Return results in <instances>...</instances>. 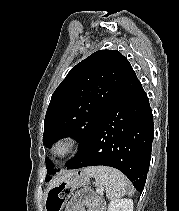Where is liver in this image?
Returning <instances> with one entry per match:
<instances>
[{
	"instance_id": "1",
	"label": "liver",
	"mask_w": 179,
	"mask_h": 211,
	"mask_svg": "<svg viewBox=\"0 0 179 211\" xmlns=\"http://www.w3.org/2000/svg\"><path fill=\"white\" fill-rule=\"evenodd\" d=\"M70 174H71V172H64L61 176L56 177V178L52 181L50 188H52V187H54V186H57V185L59 184V182L65 180Z\"/></svg>"
}]
</instances>
